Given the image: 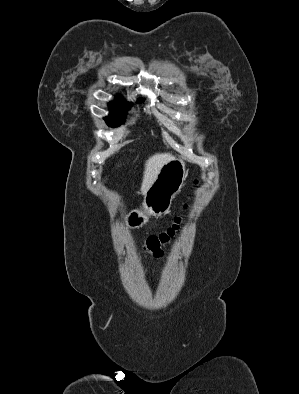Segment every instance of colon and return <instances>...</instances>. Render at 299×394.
Listing matches in <instances>:
<instances>
[{
  "instance_id": "obj_1",
  "label": "colon",
  "mask_w": 299,
  "mask_h": 394,
  "mask_svg": "<svg viewBox=\"0 0 299 394\" xmlns=\"http://www.w3.org/2000/svg\"><path fill=\"white\" fill-rule=\"evenodd\" d=\"M194 184L197 186L198 180H196ZM184 208H187V204L184 205ZM182 220L183 218L181 215L176 216L172 224L165 230L148 236L142 243L141 248L154 256L162 255L164 247L169 244L179 232Z\"/></svg>"
}]
</instances>
